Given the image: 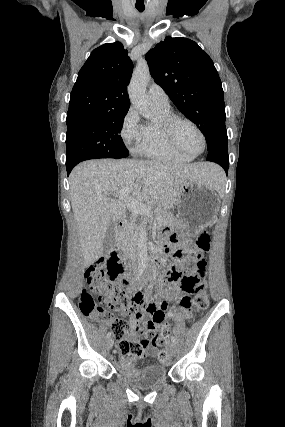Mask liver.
I'll return each instance as SVG.
<instances>
[{"label": "liver", "instance_id": "6515ba94", "mask_svg": "<svg viewBox=\"0 0 285 427\" xmlns=\"http://www.w3.org/2000/svg\"><path fill=\"white\" fill-rule=\"evenodd\" d=\"M222 170L211 163L168 164L140 160H89L69 176L71 206L80 238L84 267L103 255V241L112 221L125 216L121 192L152 206L170 209L182 186L203 182L216 189Z\"/></svg>", "mask_w": 285, "mask_h": 427}]
</instances>
